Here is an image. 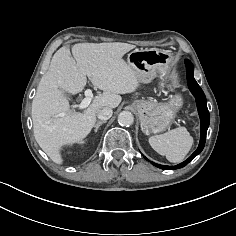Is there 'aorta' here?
Returning a JSON list of instances; mask_svg holds the SVG:
<instances>
[{"mask_svg":"<svg viewBox=\"0 0 236 236\" xmlns=\"http://www.w3.org/2000/svg\"><path fill=\"white\" fill-rule=\"evenodd\" d=\"M118 122L121 126H130L134 122V116L129 111H122L118 115Z\"/></svg>","mask_w":236,"mask_h":236,"instance_id":"1","label":"aorta"}]
</instances>
